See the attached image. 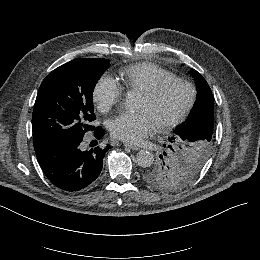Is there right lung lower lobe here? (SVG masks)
I'll return each instance as SVG.
<instances>
[{
    "instance_id": "obj_1",
    "label": "right lung lower lobe",
    "mask_w": 260,
    "mask_h": 260,
    "mask_svg": "<svg viewBox=\"0 0 260 260\" xmlns=\"http://www.w3.org/2000/svg\"><path fill=\"white\" fill-rule=\"evenodd\" d=\"M103 135L101 127L94 130L97 139ZM81 141H59L35 149L44 174L53 185L66 192H78L93 184L102 170L104 154L110 148L109 145L96 146L83 151L79 146Z\"/></svg>"
}]
</instances>
